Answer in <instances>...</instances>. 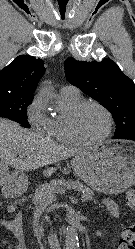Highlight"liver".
Segmentation results:
<instances>
[{
    "mask_svg": "<svg viewBox=\"0 0 135 249\" xmlns=\"http://www.w3.org/2000/svg\"><path fill=\"white\" fill-rule=\"evenodd\" d=\"M82 149L67 148L22 128L19 124L0 118V162L18 172L37 169L79 155ZM55 168L44 170L50 176Z\"/></svg>",
    "mask_w": 135,
    "mask_h": 249,
    "instance_id": "obj_1",
    "label": "liver"
}]
</instances>
